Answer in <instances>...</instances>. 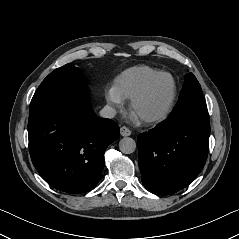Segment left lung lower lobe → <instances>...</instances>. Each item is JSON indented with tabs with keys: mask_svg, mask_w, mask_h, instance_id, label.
Masks as SVG:
<instances>
[{
	"mask_svg": "<svg viewBox=\"0 0 239 239\" xmlns=\"http://www.w3.org/2000/svg\"><path fill=\"white\" fill-rule=\"evenodd\" d=\"M207 107H189L138 135L139 167L145 188L170 195L188 186L207 159Z\"/></svg>",
	"mask_w": 239,
	"mask_h": 239,
	"instance_id": "0a47b994",
	"label": "left lung lower lobe"
}]
</instances>
